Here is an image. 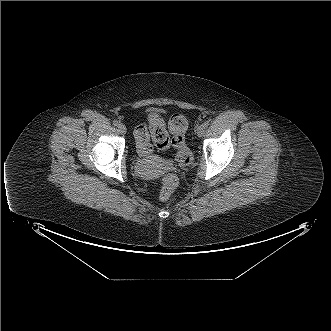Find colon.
<instances>
[{"instance_id": "colon-1", "label": "colon", "mask_w": 331, "mask_h": 331, "mask_svg": "<svg viewBox=\"0 0 331 331\" xmlns=\"http://www.w3.org/2000/svg\"><path fill=\"white\" fill-rule=\"evenodd\" d=\"M149 125L152 130V139L158 149L165 150L170 146L178 149L177 159L181 164H188L191 161V153L186 148L184 139L188 128V120L182 114H174L171 116L168 129L165 128L162 119L156 115L151 114L148 117ZM137 134L141 139V148L147 149L150 145L145 129L140 126L136 129ZM177 185L176 178L173 175H166L161 180L160 197L163 200L168 199L174 192Z\"/></svg>"}]
</instances>
